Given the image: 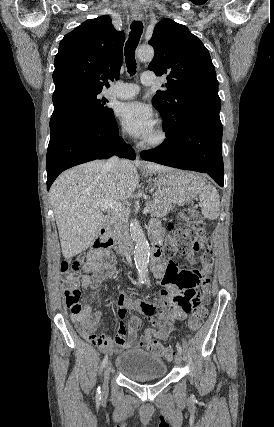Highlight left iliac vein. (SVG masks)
I'll return each mask as SVG.
<instances>
[{
	"instance_id": "obj_1",
	"label": "left iliac vein",
	"mask_w": 274,
	"mask_h": 427,
	"mask_svg": "<svg viewBox=\"0 0 274 427\" xmlns=\"http://www.w3.org/2000/svg\"><path fill=\"white\" fill-rule=\"evenodd\" d=\"M181 364H182V356L179 352H176L175 365L179 367V366H181Z\"/></svg>"
}]
</instances>
